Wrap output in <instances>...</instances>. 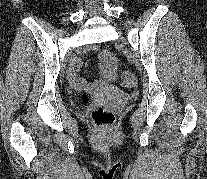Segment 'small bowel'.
I'll use <instances>...</instances> for the list:
<instances>
[{
    "mask_svg": "<svg viewBox=\"0 0 207 179\" xmlns=\"http://www.w3.org/2000/svg\"><path fill=\"white\" fill-rule=\"evenodd\" d=\"M88 51L96 53L98 56L100 79L89 83L85 79L78 78L77 71L82 65V60L78 58L74 60L72 64L67 82L69 87L76 90L98 91L116 80L118 76L119 61L109 50L101 49L98 46H91L88 48Z\"/></svg>",
    "mask_w": 207,
    "mask_h": 179,
    "instance_id": "small-bowel-1",
    "label": "small bowel"
}]
</instances>
